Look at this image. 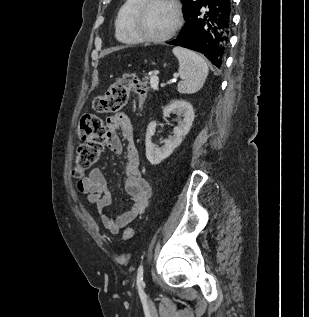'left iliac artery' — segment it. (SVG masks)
Masks as SVG:
<instances>
[{
	"instance_id": "1",
	"label": "left iliac artery",
	"mask_w": 309,
	"mask_h": 317,
	"mask_svg": "<svg viewBox=\"0 0 309 317\" xmlns=\"http://www.w3.org/2000/svg\"><path fill=\"white\" fill-rule=\"evenodd\" d=\"M143 284V265L141 264L137 271V286L139 290H141Z\"/></svg>"
}]
</instances>
